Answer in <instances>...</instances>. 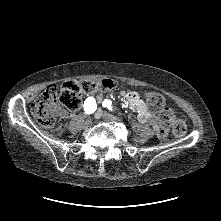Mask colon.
<instances>
[{
	"label": "colon",
	"instance_id": "5ec220e1",
	"mask_svg": "<svg viewBox=\"0 0 221 221\" xmlns=\"http://www.w3.org/2000/svg\"><path fill=\"white\" fill-rule=\"evenodd\" d=\"M116 86L112 79L98 82L83 80H69L59 89L55 86L47 87L34 101L31 113L38 124L45 129H52L56 125L57 117L62 113V107L76 111L81 107L84 94L94 92H110ZM145 99L148 105L158 113L160 128L158 136H167V125L172 122L175 136L182 137L186 133V124L182 119H174L172 111L166 106L164 98L155 92H147Z\"/></svg>",
	"mask_w": 221,
	"mask_h": 221
}]
</instances>
